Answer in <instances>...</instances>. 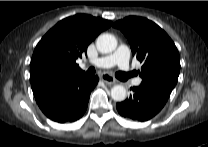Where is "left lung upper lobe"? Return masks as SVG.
<instances>
[{"label": "left lung upper lobe", "instance_id": "5c2ea615", "mask_svg": "<svg viewBox=\"0 0 208 147\" xmlns=\"http://www.w3.org/2000/svg\"><path fill=\"white\" fill-rule=\"evenodd\" d=\"M127 37L133 56L143 65L141 84L152 85L171 93L180 72L179 52L170 37L154 22L129 16L113 25Z\"/></svg>", "mask_w": 208, "mask_h": 147}]
</instances>
